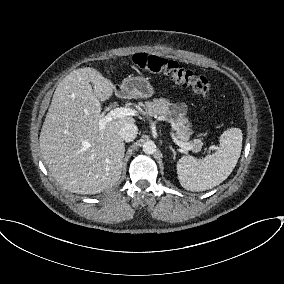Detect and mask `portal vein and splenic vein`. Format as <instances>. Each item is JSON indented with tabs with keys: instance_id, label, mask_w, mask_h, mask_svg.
Wrapping results in <instances>:
<instances>
[{
	"instance_id": "1",
	"label": "portal vein and splenic vein",
	"mask_w": 284,
	"mask_h": 284,
	"mask_svg": "<svg viewBox=\"0 0 284 284\" xmlns=\"http://www.w3.org/2000/svg\"><path fill=\"white\" fill-rule=\"evenodd\" d=\"M135 114H136V111L131 108L119 107V108L112 109L110 112H108L106 115L102 116L99 119L100 131H103L106 124L111 122L112 120L126 117V116H134ZM171 136H172L174 143L177 144L182 149L186 151L194 149L193 145H190V144H187V143H184L178 140V138L174 135V133H171ZM213 149H215L214 146L209 147V150H213Z\"/></svg>"
}]
</instances>
